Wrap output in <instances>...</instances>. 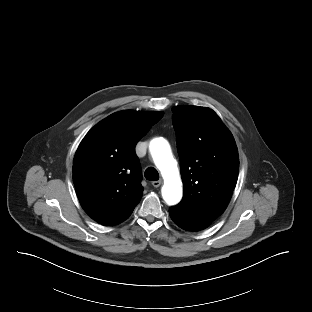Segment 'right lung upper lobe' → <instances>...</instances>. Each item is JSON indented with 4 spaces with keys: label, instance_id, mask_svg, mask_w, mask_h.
<instances>
[{
    "label": "right lung upper lobe",
    "instance_id": "cb5924a9",
    "mask_svg": "<svg viewBox=\"0 0 312 312\" xmlns=\"http://www.w3.org/2000/svg\"><path fill=\"white\" fill-rule=\"evenodd\" d=\"M162 117L163 112L120 111L84 137L74 156L73 182L93 220L113 226L131 215L143 194L135 146Z\"/></svg>",
    "mask_w": 312,
    "mask_h": 312
}]
</instances>
